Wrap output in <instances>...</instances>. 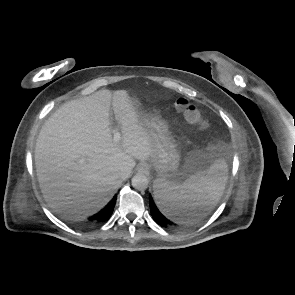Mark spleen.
<instances>
[{"label": "spleen", "mask_w": 295, "mask_h": 295, "mask_svg": "<svg viewBox=\"0 0 295 295\" xmlns=\"http://www.w3.org/2000/svg\"><path fill=\"white\" fill-rule=\"evenodd\" d=\"M228 179V168L222 159L192 175L182 184L163 178L154 181V194L160 211L172 220L185 224L198 221L205 212L198 208L215 204L223 193Z\"/></svg>", "instance_id": "1"}]
</instances>
